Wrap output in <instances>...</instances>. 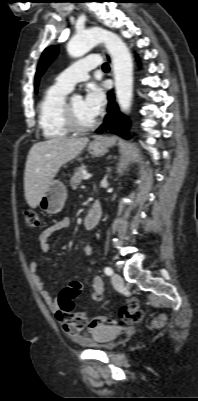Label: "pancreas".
Returning a JSON list of instances; mask_svg holds the SVG:
<instances>
[{
  "mask_svg": "<svg viewBox=\"0 0 198 401\" xmlns=\"http://www.w3.org/2000/svg\"><path fill=\"white\" fill-rule=\"evenodd\" d=\"M85 170H86L85 166H82L76 170V172L74 173V175L70 180V186L72 189H77L78 185L82 182Z\"/></svg>",
  "mask_w": 198,
  "mask_h": 401,
  "instance_id": "1",
  "label": "pancreas"
}]
</instances>
